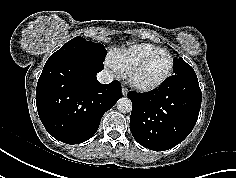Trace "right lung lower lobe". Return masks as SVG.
<instances>
[{"label": "right lung lower lobe", "mask_w": 236, "mask_h": 178, "mask_svg": "<svg viewBox=\"0 0 236 178\" xmlns=\"http://www.w3.org/2000/svg\"><path fill=\"white\" fill-rule=\"evenodd\" d=\"M103 68V60L92 55L49 57L37 83L36 105L52 137L78 144L96 133L104 113L122 97L118 81H97Z\"/></svg>", "instance_id": "right-lung-lower-lobe-1"}]
</instances>
